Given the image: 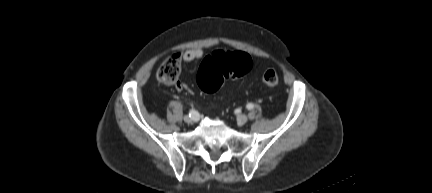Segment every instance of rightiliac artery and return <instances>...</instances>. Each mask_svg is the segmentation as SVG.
<instances>
[{
  "label": "right iliac artery",
  "instance_id": "right-iliac-artery-1",
  "mask_svg": "<svg viewBox=\"0 0 432 193\" xmlns=\"http://www.w3.org/2000/svg\"><path fill=\"white\" fill-rule=\"evenodd\" d=\"M195 115H198V113L195 110H190L189 117H194Z\"/></svg>",
  "mask_w": 432,
  "mask_h": 193
}]
</instances>
